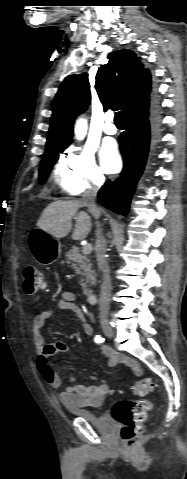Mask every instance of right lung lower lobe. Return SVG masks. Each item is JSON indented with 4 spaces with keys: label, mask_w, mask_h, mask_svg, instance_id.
Returning <instances> with one entry per match:
<instances>
[{
    "label": "right lung lower lobe",
    "mask_w": 187,
    "mask_h": 479,
    "mask_svg": "<svg viewBox=\"0 0 187 479\" xmlns=\"http://www.w3.org/2000/svg\"><path fill=\"white\" fill-rule=\"evenodd\" d=\"M126 131L120 136V149L124 158L121 176L109 180L98 193L102 205L121 215H126L138 179L143 173L149 147L160 128L161 116L156 94L145 107L136 108L125 115Z\"/></svg>",
    "instance_id": "obj_1"
}]
</instances>
